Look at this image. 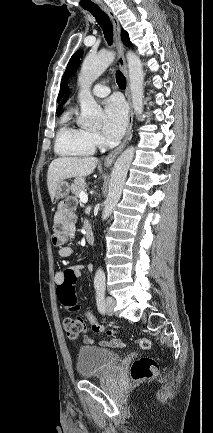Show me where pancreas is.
<instances>
[{
	"label": "pancreas",
	"instance_id": "pancreas-1",
	"mask_svg": "<svg viewBox=\"0 0 213 433\" xmlns=\"http://www.w3.org/2000/svg\"><path fill=\"white\" fill-rule=\"evenodd\" d=\"M86 187V181L84 178L78 177L74 180V183L71 185V192L75 196H79L81 191H84Z\"/></svg>",
	"mask_w": 213,
	"mask_h": 433
}]
</instances>
